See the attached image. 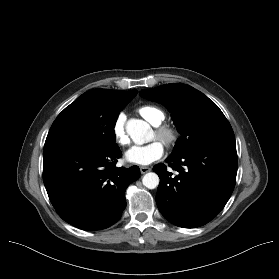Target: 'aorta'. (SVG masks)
Returning <instances> with one entry per match:
<instances>
[{
	"label": "aorta",
	"mask_w": 279,
	"mask_h": 279,
	"mask_svg": "<svg viewBox=\"0 0 279 279\" xmlns=\"http://www.w3.org/2000/svg\"><path fill=\"white\" fill-rule=\"evenodd\" d=\"M126 130L135 143L142 144L146 141L150 126L143 120L131 119L126 125ZM142 183L148 189H155L159 185V177L154 172L146 173L142 178Z\"/></svg>",
	"instance_id": "obj_1"
}]
</instances>
